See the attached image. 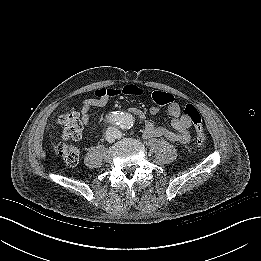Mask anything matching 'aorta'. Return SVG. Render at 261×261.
I'll return each instance as SVG.
<instances>
[{"label":"aorta","instance_id":"762f6f07","mask_svg":"<svg viewBox=\"0 0 261 261\" xmlns=\"http://www.w3.org/2000/svg\"><path fill=\"white\" fill-rule=\"evenodd\" d=\"M125 117H127L130 122L124 123V121L121 120V121L119 122V125H120L121 128H123V129H128V128L131 126V123H132V121H133V118H132L130 115H126Z\"/></svg>","mask_w":261,"mask_h":261}]
</instances>
